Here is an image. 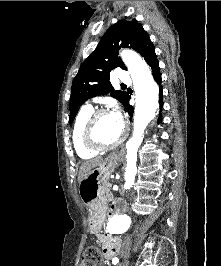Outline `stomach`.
<instances>
[{
    "mask_svg": "<svg viewBox=\"0 0 221 266\" xmlns=\"http://www.w3.org/2000/svg\"><path fill=\"white\" fill-rule=\"evenodd\" d=\"M120 158L108 156L99 166L91 169L79 182V195L90 208L89 226L97 229L102 220V213L107 205L105 186Z\"/></svg>",
    "mask_w": 221,
    "mask_h": 266,
    "instance_id": "stomach-1",
    "label": "stomach"
}]
</instances>
